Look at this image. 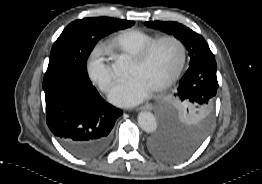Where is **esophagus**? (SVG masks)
Returning a JSON list of instances; mask_svg holds the SVG:
<instances>
[{
    "mask_svg": "<svg viewBox=\"0 0 262 184\" xmlns=\"http://www.w3.org/2000/svg\"><path fill=\"white\" fill-rule=\"evenodd\" d=\"M154 109V105L151 103H146L140 107L137 108V110H145V111H150Z\"/></svg>",
    "mask_w": 262,
    "mask_h": 184,
    "instance_id": "obj_1",
    "label": "esophagus"
}]
</instances>
